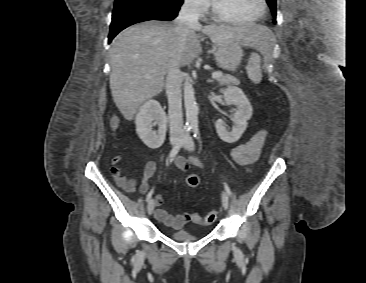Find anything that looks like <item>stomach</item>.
I'll return each mask as SVG.
<instances>
[{
    "instance_id": "obj_1",
    "label": "stomach",
    "mask_w": 366,
    "mask_h": 283,
    "mask_svg": "<svg viewBox=\"0 0 366 283\" xmlns=\"http://www.w3.org/2000/svg\"><path fill=\"white\" fill-rule=\"evenodd\" d=\"M214 51L218 66L228 71H235L243 56L241 44L236 41L217 43Z\"/></svg>"
}]
</instances>
